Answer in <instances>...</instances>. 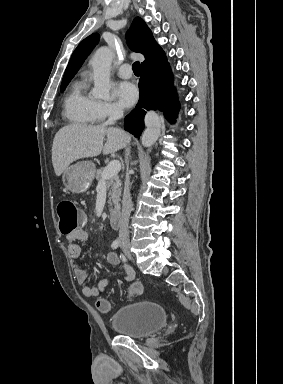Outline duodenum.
Returning <instances> with one entry per match:
<instances>
[{
  "instance_id": "1",
  "label": "duodenum",
  "mask_w": 283,
  "mask_h": 384,
  "mask_svg": "<svg viewBox=\"0 0 283 384\" xmlns=\"http://www.w3.org/2000/svg\"><path fill=\"white\" fill-rule=\"evenodd\" d=\"M109 223L114 227L118 228L120 226V213L118 211H114L109 214Z\"/></svg>"
}]
</instances>
